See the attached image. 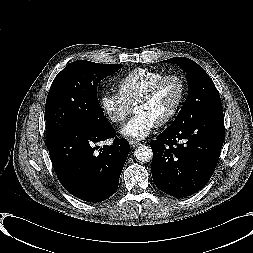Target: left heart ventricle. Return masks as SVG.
Here are the masks:
<instances>
[{
  "label": "left heart ventricle",
  "mask_w": 253,
  "mask_h": 253,
  "mask_svg": "<svg viewBox=\"0 0 253 253\" xmlns=\"http://www.w3.org/2000/svg\"><path fill=\"white\" fill-rule=\"evenodd\" d=\"M179 97L178 81L169 79L159 87L150 101L139 105L135 112L146 114L158 123L176 107Z\"/></svg>",
  "instance_id": "1"
}]
</instances>
